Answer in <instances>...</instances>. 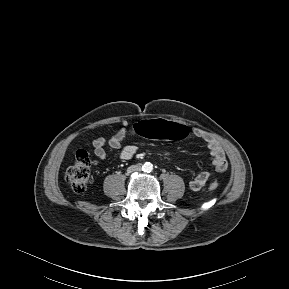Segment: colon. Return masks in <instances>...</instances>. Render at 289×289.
I'll return each mask as SVG.
<instances>
[{"label": "colon", "instance_id": "5ec220e1", "mask_svg": "<svg viewBox=\"0 0 289 289\" xmlns=\"http://www.w3.org/2000/svg\"><path fill=\"white\" fill-rule=\"evenodd\" d=\"M133 131L139 137L171 140L182 139L188 134L187 128L176 121L158 118H144L137 121ZM89 177V154L85 149H80L76 153L75 161L66 170L65 179L74 192L83 193L87 189ZM218 187L219 183L215 181L208 186L210 190H216Z\"/></svg>", "mask_w": 289, "mask_h": 289}]
</instances>
